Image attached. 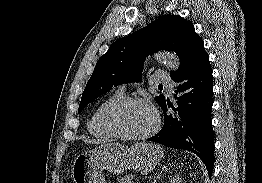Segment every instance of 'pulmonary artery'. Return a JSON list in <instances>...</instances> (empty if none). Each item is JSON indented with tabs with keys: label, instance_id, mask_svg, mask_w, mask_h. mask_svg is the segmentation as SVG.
<instances>
[{
	"label": "pulmonary artery",
	"instance_id": "1",
	"mask_svg": "<svg viewBox=\"0 0 262 183\" xmlns=\"http://www.w3.org/2000/svg\"><path fill=\"white\" fill-rule=\"evenodd\" d=\"M156 81L165 84L170 90H172L175 86V83L169 77L166 76L156 75ZM124 91H125V86H120L118 92L123 94Z\"/></svg>",
	"mask_w": 262,
	"mask_h": 183
}]
</instances>
